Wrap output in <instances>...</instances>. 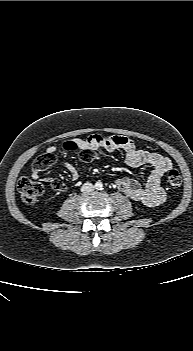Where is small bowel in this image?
<instances>
[{
  "instance_id": "c3829d8e",
  "label": "small bowel",
  "mask_w": 193,
  "mask_h": 351,
  "mask_svg": "<svg viewBox=\"0 0 193 351\" xmlns=\"http://www.w3.org/2000/svg\"><path fill=\"white\" fill-rule=\"evenodd\" d=\"M86 148H91L97 157H99L103 149L108 151L121 149L125 152L127 165L131 167L149 166L151 172L144 187L137 180L128 177L117 180L116 185L124 195L147 207H154L164 202L166 195L161 183L165 173L172 167V162L168 157L159 153L139 149L126 136L93 135L88 139L76 138L61 141L58 144V151L61 154L78 153L80 150ZM56 151L57 146L55 145L48 146L46 149V152L50 153ZM62 165L68 170L73 181H78L81 178L80 173L73 164L63 161ZM31 177L38 179L40 172L32 169ZM45 180L52 184L55 179L47 177Z\"/></svg>"
}]
</instances>
